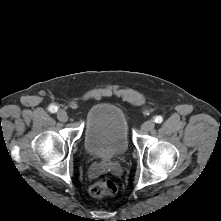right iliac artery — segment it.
Here are the masks:
<instances>
[{
	"label": "right iliac artery",
	"instance_id": "right-iliac-artery-1",
	"mask_svg": "<svg viewBox=\"0 0 221 221\" xmlns=\"http://www.w3.org/2000/svg\"><path fill=\"white\" fill-rule=\"evenodd\" d=\"M57 110H58L57 106H55V105H50L49 106V111L50 112L55 113V112H57Z\"/></svg>",
	"mask_w": 221,
	"mask_h": 221
}]
</instances>
